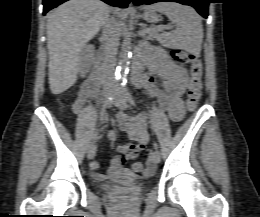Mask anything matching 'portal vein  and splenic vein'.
<instances>
[{"label": "portal vein and splenic vein", "instance_id": "1", "mask_svg": "<svg viewBox=\"0 0 260 217\" xmlns=\"http://www.w3.org/2000/svg\"><path fill=\"white\" fill-rule=\"evenodd\" d=\"M148 32H150V29H144V30L142 31V35H145V34L148 33Z\"/></svg>", "mask_w": 260, "mask_h": 217}]
</instances>
